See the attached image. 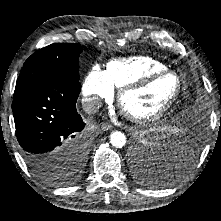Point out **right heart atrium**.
Here are the masks:
<instances>
[{
    "label": "right heart atrium",
    "instance_id": "1",
    "mask_svg": "<svg viewBox=\"0 0 221 221\" xmlns=\"http://www.w3.org/2000/svg\"><path fill=\"white\" fill-rule=\"evenodd\" d=\"M82 94L92 108H96L102 99H109L113 95L112 84L98 66H94L85 78Z\"/></svg>",
    "mask_w": 221,
    "mask_h": 221
}]
</instances>
